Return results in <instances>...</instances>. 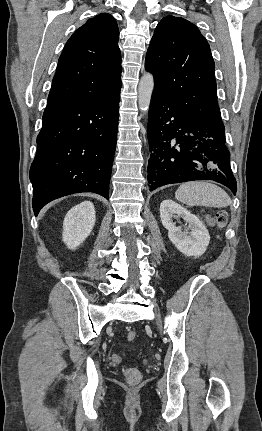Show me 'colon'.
Returning a JSON list of instances; mask_svg holds the SVG:
<instances>
[{
  "instance_id": "obj_1",
  "label": "colon",
  "mask_w": 262,
  "mask_h": 431,
  "mask_svg": "<svg viewBox=\"0 0 262 431\" xmlns=\"http://www.w3.org/2000/svg\"><path fill=\"white\" fill-rule=\"evenodd\" d=\"M227 221V214L225 211H218L216 214V222L219 227H223ZM138 337V334L136 331H129L127 333V339L128 341H133ZM125 377L127 381L131 384H136L140 382L141 380V373L138 369L129 367L126 368L124 371Z\"/></svg>"
}]
</instances>
